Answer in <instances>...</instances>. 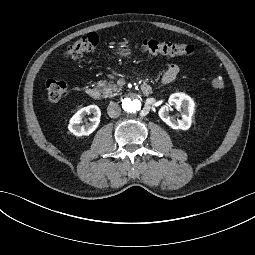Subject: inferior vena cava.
<instances>
[{"instance_id":"obj_1","label":"inferior vena cava","mask_w":255,"mask_h":255,"mask_svg":"<svg viewBox=\"0 0 255 255\" xmlns=\"http://www.w3.org/2000/svg\"><path fill=\"white\" fill-rule=\"evenodd\" d=\"M107 113L109 117L111 118H117L120 116L121 113V108L120 106L115 103V102H110L108 108H107Z\"/></svg>"}]
</instances>
